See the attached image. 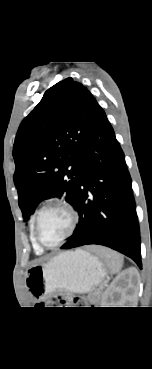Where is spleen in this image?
Masks as SVG:
<instances>
[{"mask_svg":"<svg viewBox=\"0 0 152 369\" xmlns=\"http://www.w3.org/2000/svg\"><path fill=\"white\" fill-rule=\"evenodd\" d=\"M101 254L106 258L111 272L119 273L123 265V257L119 253L109 249L103 250Z\"/></svg>","mask_w":152,"mask_h":369,"instance_id":"3e777b00","label":"spleen"}]
</instances>
